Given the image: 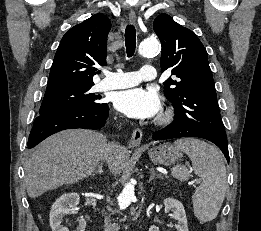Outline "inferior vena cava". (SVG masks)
Returning <instances> with one entry per match:
<instances>
[{"label":"inferior vena cava","instance_id":"inferior-vena-cava-1","mask_svg":"<svg viewBox=\"0 0 261 231\" xmlns=\"http://www.w3.org/2000/svg\"><path fill=\"white\" fill-rule=\"evenodd\" d=\"M118 145L114 143H108L105 152H104V159L108 161L115 153L117 152ZM105 231H114L113 226L109 223V219L105 218Z\"/></svg>","mask_w":261,"mask_h":231}]
</instances>
